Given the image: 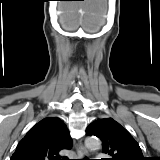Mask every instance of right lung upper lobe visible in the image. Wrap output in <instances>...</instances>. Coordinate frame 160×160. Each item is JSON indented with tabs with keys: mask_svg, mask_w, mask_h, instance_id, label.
<instances>
[{
	"mask_svg": "<svg viewBox=\"0 0 160 160\" xmlns=\"http://www.w3.org/2000/svg\"><path fill=\"white\" fill-rule=\"evenodd\" d=\"M71 148L72 139L64 122L48 117L27 132L10 160H69L59 152Z\"/></svg>",
	"mask_w": 160,
	"mask_h": 160,
	"instance_id": "cb5924a9",
	"label": "right lung upper lobe"
}]
</instances>
